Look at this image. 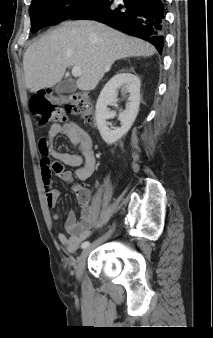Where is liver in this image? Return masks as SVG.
<instances>
[{
  "label": "liver",
  "instance_id": "obj_1",
  "mask_svg": "<svg viewBox=\"0 0 213 338\" xmlns=\"http://www.w3.org/2000/svg\"><path fill=\"white\" fill-rule=\"evenodd\" d=\"M150 43L94 21L66 22L28 47L23 57L26 88L34 93L59 83L67 68L80 67L78 89L91 91L119 59L150 57Z\"/></svg>",
  "mask_w": 213,
  "mask_h": 338
}]
</instances>
